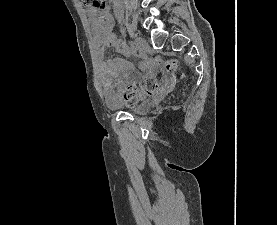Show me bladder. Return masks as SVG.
<instances>
[{
  "mask_svg": "<svg viewBox=\"0 0 277 225\" xmlns=\"http://www.w3.org/2000/svg\"><path fill=\"white\" fill-rule=\"evenodd\" d=\"M150 108H151V101L148 98H145L133 104L117 103L112 107V109L114 110L128 111V112H134V113H146L149 111Z\"/></svg>",
  "mask_w": 277,
  "mask_h": 225,
  "instance_id": "1",
  "label": "bladder"
}]
</instances>
